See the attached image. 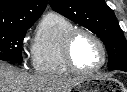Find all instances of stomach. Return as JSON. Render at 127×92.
<instances>
[{"label":"stomach","instance_id":"stomach-1","mask_svg":"<svg viewBox=\"0 0 127 92\" xmlns=\"http://www.w3.org/2000/svg\"><path fill=\"white\" fill-rule=\"evenodd\" d=\"M104 82L105 81L100 80L97 76H91L83 79L78 84L76 90L79 92H100Z\"/></svg>","mask_w":127,"mask_h":92}]
</instances>
